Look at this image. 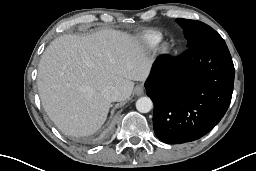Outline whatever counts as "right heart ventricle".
I'll return each instance as SVG.
<instances>
[{"mask_svg": "<svg viewBox=\"0 0 256 171\" xmlns=\"http://www.w3.org/2000/svg\"><path fill=\"white\" fill-rule=\"evenodd\" d=\"M162 39V34L158 31H149L143 35V42L149 48H154Z\"/></svg>", "mask_w": 256, "mask_h": 171, "instance_id": "e07e8e85", "label": "right heart ventricle"}]
</instances>
